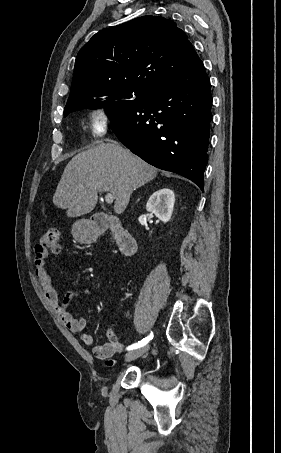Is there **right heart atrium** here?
Returning <instances> with one entry per match:
<instances>
[{
	"label": "right heart atrium",
	"mask_w": 281,
	"mask_h": 453,
	"mask_svg": "<svg viewBox=\"0 0 281 453\" xmlns=\"http://www.w3.org/2000/svg\"><path fill=\"white\" fill-rule=\"evenodd\" d=\"M111 115L104 107H93L88 111L86 129L94 139L104 136L111 125ZM92 158H97L96 151L89 153Z\"/></svg>",
	"instance_id": "right-heart-atrium-1"
}]
</instances>
